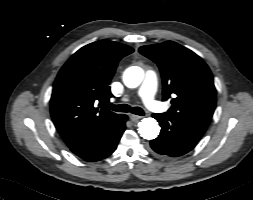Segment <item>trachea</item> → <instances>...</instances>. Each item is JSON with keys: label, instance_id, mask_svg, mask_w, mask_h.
Masks as SVG:
<instances>
[{"label": "trachea", "instance_id": "3493384b", "mask_svg": "<svg viewBox=\"0 0 253 200\" xmlns=\"http://www.w3.org/2000/svg\"><path fill=\"white\" fill-rule=\"evenodd\" d=\"M106 107L116 112H131L133 114L140 116L144 115V111L140 107H131L130 105L127 104L113 105L108 103Z\"/></svg>", "mask_w": 253, "mask_h": 200}]
</instances>
